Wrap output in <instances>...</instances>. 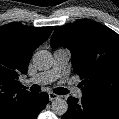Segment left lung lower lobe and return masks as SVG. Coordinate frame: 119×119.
<instances>
[{"label":"left lung lower lobe","instance_id":"0a47b994","mask_svg":"<svg viewBox=\"0 0 119 119\" xmlns=\"http://www.w3.org/2000/svg\"><path fill=\"white\" fill-rule=\"evenodd\" d=\"M68 110L62 119H119V108L105 105L82 96L69 97Z\"/></svg>","mask_w":119,"mask_h":119}]
</instances>
